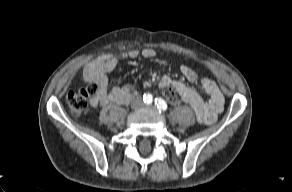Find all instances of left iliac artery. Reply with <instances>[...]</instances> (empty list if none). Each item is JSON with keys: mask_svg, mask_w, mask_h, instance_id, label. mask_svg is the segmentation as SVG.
<instances>
[{"mask_svg": "<svg viewBox=\"0 0 292 192\" xmlns=\"http://www.w3.org/2000/svg\"><path fill=\"white\" fill-rule=\"evenodd\" d=\"M155 105L157 106L159 111H166L168 108L167 103L161 98L155 99Z\"/></svg>", "mask_w": 292, "mask_h": 192, "instance_id": "left-iliac-artery-1", "label": "left iliac artery"}]
</instances>
